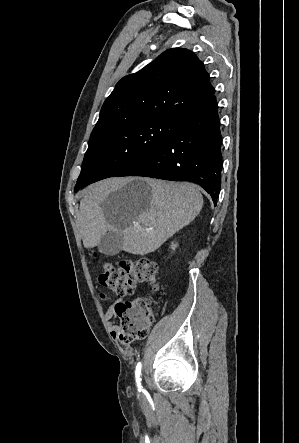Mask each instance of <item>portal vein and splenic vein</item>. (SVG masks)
Segmentation results:
<instances>
[{
    "label": "portal vein and splenic vein",
    "instance_id": "obj_1",
    "mask_svg": "<svg viewBox=\"0 0 299 443\" xmlns=\"http://www.w3.org/2000/svg\"><path fill=\"white\" fill-rule=\"evenodd\" d=\"M133 226L134 227H139V223L138 222H133Z\"/></svg>",
    "mask_w": 299,
    "mask_h": 443
}]
</instances>
